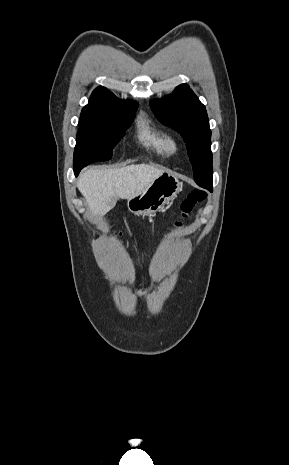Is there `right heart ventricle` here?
<instances>
[{
  "instance_id": "obj_1",
  "label": "right heart ventricle",
  "mask_w": 289,
  "mask_h": 465,
  "mask_svg": "<svg viewBox=\"0 0 289 465\" xmlns=\"http://www.w3.org/2000/svg\"><path fill=\"white\" fill-rule=\"evenodd\" d=\"M136 133L142 146L155 155H165L167 134L148 116L140 114L136 119Z\"/></svg>"
}]
</instances>
